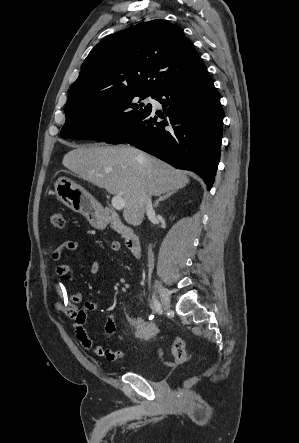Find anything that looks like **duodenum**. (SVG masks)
<instances>
[{
	"mask_svg": "<svg viewBox=\"0 0 299 443\" xmlns=\"http://www.w3.org/2000/svg\"><path fill=\"white\" fill-rule=\"evenodd\" d=\"M101 223L105 226H110L115 232L122 235L127 249L135 257H139L141 255L140 238L136 233L121 222L116 213L108 209H103L101 211Z\"/></svg>",
	"mask_w": 299,
	"mask_h": 443,
	"instance_id": "duodenum-1",
	"label": "duodenum"
}]
</instances>
